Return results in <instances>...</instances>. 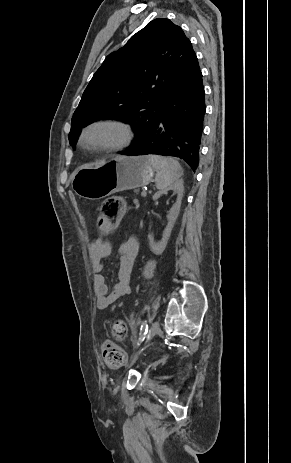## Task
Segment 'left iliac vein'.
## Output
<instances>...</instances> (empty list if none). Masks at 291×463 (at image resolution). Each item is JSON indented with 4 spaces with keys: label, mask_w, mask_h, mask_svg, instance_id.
Returning <instances> with one entry per match:
<instances>
[{
    "label": "left iliac vein",
    "mask_w": 291,
    "mask_h": 463,
    "mask_svg": "<svg viewBox=\"0 0 291 463\" xmlns=\"http://www.w3.org/2000/svg\"><path fill=\"white\" fill-rule=\"evenodd\" d=\"M160 331V324L158 321H155L149 331H148V334H147V341H146V344L144 345V347L142 348V350L140 352H138L137 354H135L132 359H131V362L129 364V367L132 366L139 358V356L141 355L142 351L146 349V347L148 346L149 342L152 340V338Z\"/></svg>",
    "instance_id": "obj_1"
}]
</instances>
